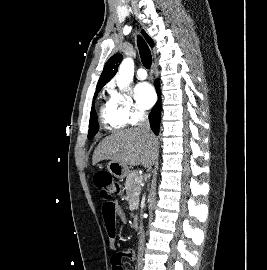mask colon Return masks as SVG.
Instances as JSON below:
<instances>
[{
  "instance_id": "1",
  "label": "colon",
  "mask_w": 267,
  "mask_h": 270,
  "mask_svg": "<svg viewBox=\"0 0 267 270\" xmlns=\"http://www.w3.org/2000/svg\"><path fill=\"white\" fill-rule=\"evenodd\" d=\"M94 184L96 188L99 190L100 197L104 201H109L110 199L120 195L121 193V185L114 180L111 174L107 172H99L94 176ZM121 258L119 256H115L113 258L112 269L120 270L121 269Z\"/></svg>"
}]
</instances>
